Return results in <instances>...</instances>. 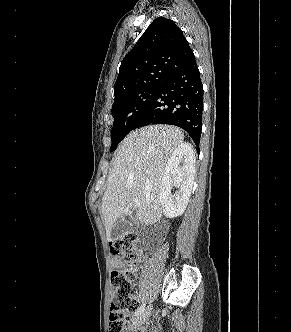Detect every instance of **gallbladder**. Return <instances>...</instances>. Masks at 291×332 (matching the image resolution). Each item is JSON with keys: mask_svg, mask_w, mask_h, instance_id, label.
Returning a JSON list of instances; mask_svg holds the SVG:
<instances>
[{"mask_svg": "<svg viewBox=\"0 0 291 332\" xmlns=\"http://www.w3.org/2000/svg\"><path fill=\"white\" fill-rule=\"evenodd\" d=\"M134 214L120 218L111 229V238L117 240L125 235L132 234L137 230L133 221Z\"/></svg>", "mask_w": 291, "mask_h": 332, "instance_id": "bac80fb5", "label": "gallbladder"}]
</instances>
